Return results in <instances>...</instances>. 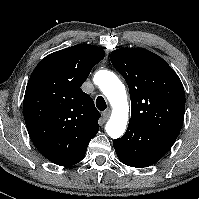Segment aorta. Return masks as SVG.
Returning <instances> with one entry per match:
<instances>
[{
  "label": "aorta",
  "instance_id": "762f6f07",
  "mask_svg": "<svg viewBox=\"0 0 199 199\" xmlns=\"http://www.w3.org/2000/svg\"><path fill=\"white\" fill-rule=\"evenodd\" d=\"M96 76L100 90L113 108L105 127L106 132L113 139L120 138L125 132L129 112L125 86L111 71L100 70Z\"/></svg>",
  "mask_w": 199,
  "mask_h": 199
}]
</instances>
